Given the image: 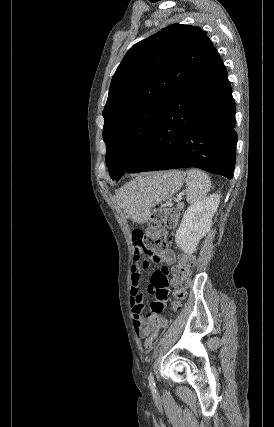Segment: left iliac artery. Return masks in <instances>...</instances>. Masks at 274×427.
<instances>
[{"instance_id": "obj_1", "label": "left iliac artery", "mask_w": 274, "mask_h": 427, "mask_svg": "<svg viewBox=\"0 0 274 427\" xmlns=\"http://www.w3.org/2000/svg\"><path fill=\"white\" fill-rule=\"evenodd\" d=\"M148 380H149V386H150L152 393H156V385H155V381H154L152 371L149 374Z\"/></svg>"}]
</instances>
